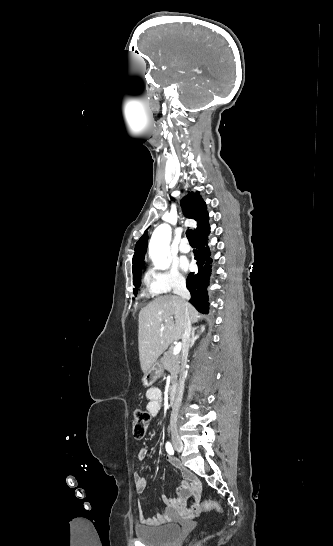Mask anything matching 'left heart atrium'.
Segmentation results:
<instances>
[{"label": "left heart atrium", "instance_id": "1", "mask_svg": "<svg viewBox=\"0 0 333 546\" xmlns=\"http://www.w3.org/2000/svg\"><path fill=\"white\" fill-rule=\"evenodd\" d=\"M180 265H181V268L185 271L189 268V264L186 260H181Z\"/></svg>", "mask_w": 333, "mask_h": 546}]
</instances>
